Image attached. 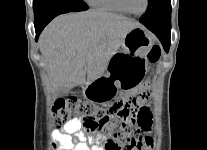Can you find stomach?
Instances as JSON below:
<instances>
[{"instance_id": "stomach-1", "label": "stomach", "mask_w": 207, "mask_h": 150, "mask_svg": "<svg viewBox=\"0 0 207 150\" xmlns=\"http://www.w3.org/2000/svg\"><path fill=\"white\" fill-rule=\"evenodd\" d=\"M153 45L152 36L143 28H133L125 35L121 49L110 59L107 74L84 86L88 99L106 101L116 97L121 88L130 89L143 84L147 72L146 56Z\"/></svg>"}]
</instances>
